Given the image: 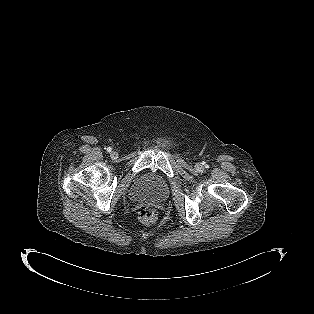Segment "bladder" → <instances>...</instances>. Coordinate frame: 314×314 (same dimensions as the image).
Masks as SVG:
<instances>
[{
	"label": "bladder",
	"instance_id": "bladder-1",
	"mask_svg": "<svg viewBox=\"0 0 314 314\" xmlns=\"http://www.w3.org/2000/svg\"><path fill=\"white\" fill-rule=\"evenodd\" d=\"M169 193L167 181L155 172L145 173L133 186L131 195L135 199L162 202Z\"/></svg>",
	"mask_w": 314,
	"mask_h": 314
}]
</instances>
